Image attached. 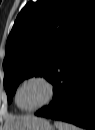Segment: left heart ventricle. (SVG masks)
I'll use <instances>...</instances> for the list:
<instances>
[{"label": "left heart ventricle", "mask_w": 95, "mask_h": 130, "mask_svg": "<svg viewBox=\"0 0 95 130\" xmlns=\"http://www.w3.org/2000/svg\"><path fill=\"white\" fill-rule=\"evenodd\" d=\"M47 97L46 86L38 81L26 83L18 95V103L25 109H30L41 104Z\"/></svg>", "instance_id": "left-heart-ventricle-1"}]
</instances>
